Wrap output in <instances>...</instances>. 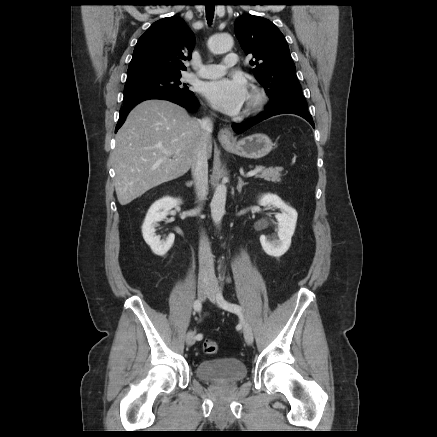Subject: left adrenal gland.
Here are the masks:
<instances>
[{"mask_svg":"<svg viewBox=\"0 0 437 437\" xmlns=\"http://www.w3.org/2000/svg\"><path fill=\"white\" fill-rule=\"evenodd\" d=\"M246 184H248V183H247V182H244V181L242 180L241 177H238L237 190H238L239 193L241 192L242 187H243L244 185H246Z\"/></svg>","mask_w":437,"mask_h":437,"instance_id":"1","label":"left adrenal gland"}]
</instances>
